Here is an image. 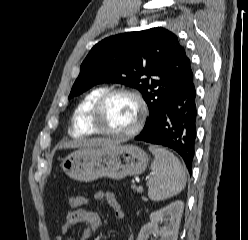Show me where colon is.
<instances>
[{
    "instance_id": "5ec220e1",
    "label": "colon",
    "mask_w": 248,
    "mask_h": 240,
    "mask_svg": "<svg viewBox=\"0 0 248 240\" xmlns=\"http://www.w3.org/2000/svg\"><path fill=\"white\" fill-rule=\"evenodd\" d=\"M86 203H87V198L82 195H74L70 197L68 200V206L71 209V211L83 208Z\"/></svg>"
}]
</instances>
